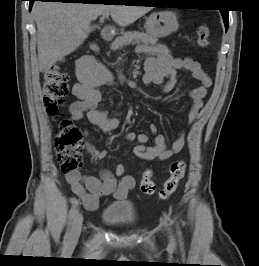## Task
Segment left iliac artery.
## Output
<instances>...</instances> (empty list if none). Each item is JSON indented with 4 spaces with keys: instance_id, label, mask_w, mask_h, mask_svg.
<instances>
[{
    "instance_id": "obj_1",
    "label": "left iliac artery",
    "mask_w": 259,
    "mask_h": 266,
    "mask_svg": "<svg viewBox=\"0 0 259 266\" xmlns=\"http://www.w3.org/2000/svg\"><path fill=\"white\" fill-rule=\"evenodd\" d=\"M178 235L181 236V231L178 229Z\"/></svg>"
}]
</instances>
